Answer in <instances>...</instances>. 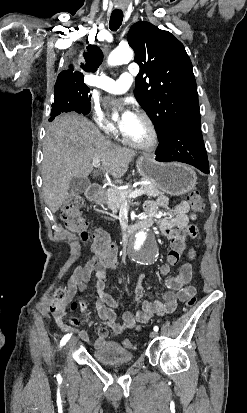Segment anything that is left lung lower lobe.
<instances>
[{
	"mask_svg": "<svg viewBox=\"0 0 247 413\" xmlns=\"http://www.w3.org/2000/svg\"><path fill=\"white\" fill-rule=\"evenodd\" d=\"M156 160L159 162L178 161L195 166L209 173L207 152L201 128L177 126L159 138Z\"/></svg>",
	"mask_w": 247,
	"mask_h": 413,
	"instance_id": "1",
	"label": "left lung lower lobe"
}]
</instances>
